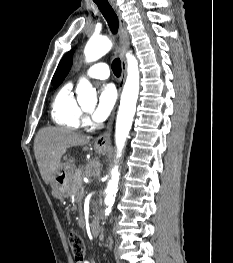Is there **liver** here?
<instances>
[{
    "instance_id": "liver-1",
    "label": "liver",
    "mask_w": 233,
    "mask_h": 263,
    "mask_svg": "<svg viewBox=\"0 0 233 263\" xmlns=\"http://www.w3.org/2000/svg\"><path fill=\"white\" fill-rule=\"evenodd\" d=\"M90 139V136L66 128L50 127L39 130L34 140V153L45 184L52 182L67 148L86 145Z\"/></svg>"
}]
</instances>
